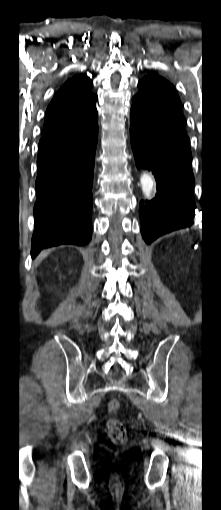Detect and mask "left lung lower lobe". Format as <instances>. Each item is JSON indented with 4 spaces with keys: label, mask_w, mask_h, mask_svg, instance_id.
Returning <instances> with one entry per match:
<instances>
[{
    "label": "left lung lower lobe",
    "mask_w": 221,
    "mask_h": 510,
    "mask_svg": "<svg viewBox=\"0 0 221 510\" xmlns=\"http://www.w3.org/2000/svg\"><path fill=\"white\" fill-rule=\"evenodd\" d=\"M130 138L136 165L154 174L157 194L140 202L141 233L150 244L159 236L190 227L195 210L190 147L151 123L134 107Z\"/></svg>",
    "instance_id": "left-lung-lower-lobe-1"
}]
</instances>
